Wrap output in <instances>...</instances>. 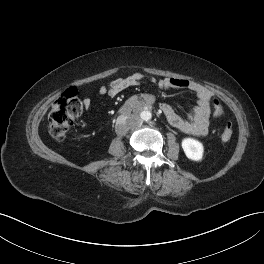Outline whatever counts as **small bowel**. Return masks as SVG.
<instances>
[{
    "label": "small bowel",
    "instance_id": "small-bowel-1",
    "mask_svg": "<svg viewBox=\"0 0 264 264\" xmlns=\"http://www.w3.org/2000/svg\"><path fill=\"white\" fill-rule=\"evenodd\" d=\"M145 82L155 85L160 90L186 89L194 93L197 103L186 118L181 117L170 105L165 103L160 106L161 112L171 126L184 133L195 136H203L208 133L212 94L206 87L194 81L180 78L156 79L145 74L135 73L125 78L112 80L106 85H101L98 92L101 96L112 98L128 87ZM82 105L88 111L91 107V100L84 98Z\"/></svg>",
    "mask_w": 264,
    "mask_h": 264
}]
</instances>
